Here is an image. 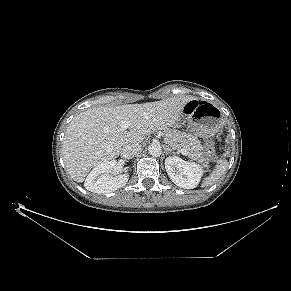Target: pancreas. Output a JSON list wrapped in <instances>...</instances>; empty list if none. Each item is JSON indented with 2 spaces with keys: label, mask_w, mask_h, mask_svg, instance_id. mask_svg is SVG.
I'll return each mask as SVG.
<instances>
[{
  "label": "pancreas",
  "mask_w": 291,
  "mask_h": 291,
  "mask_svg": "<svg viewBox=\"0 0 291 291\" xmlns=\"http://www.w3.org/2000/svg\"><path fill=\"white\" fill-rule=\"evenodd\" d=\"M164 134V141L171 148L177 151L185 149L191 159L206 165L209 163L210 159L205 155L204 148L197 137L170 129L164 130Z\"/></svg>",
  "instance_id": "obj_1"
}]
</instances>
